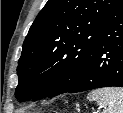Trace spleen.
I'll list each match as a JSON object with an SVG mask.
<instances>
[{"label": "spleen", "mask_w": 123, "mask_h": 113, "mask_svg": "<svg viewBox=\"0 0 123 113\" xmlns=\"http://www.w3.org/2000/svg\"><path fill=\"white\" fill-rule=\"evenodd\" d=\"M88 100L107 106L108 113H123V88L107 87L91 91Z\"/></svg>", "instance_id": "1"}]
</instances>
